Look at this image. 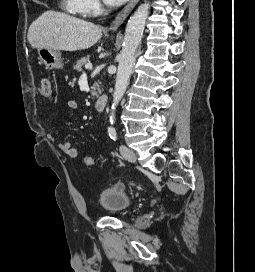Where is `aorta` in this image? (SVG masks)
I'll return each mask as SVG.
<instances>
[{"label":"aorta","instance_id":"aorta-1","mask_svg":"<svg viewBox=\"0 0 255 272\" xmlns=\"http://www.w3.org/2000/svg\"><path fill=\"white\" fill-rule=\"evenodd\" d=\"M149 2H145L138 7L134 14L128 20L124 40L123 49L119 55V64L116 74V83L113 93L112 111L109 116L111 124L115 121V109L127 89L130 76L132 74L133 65L136 59V53L141 43L146 19L149 14Z\"/></svg>","mask_w":255,"mask_h":272}]
</instances>
